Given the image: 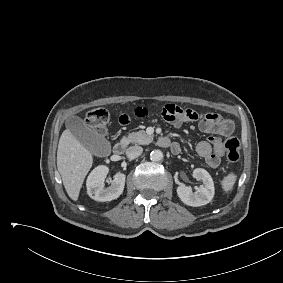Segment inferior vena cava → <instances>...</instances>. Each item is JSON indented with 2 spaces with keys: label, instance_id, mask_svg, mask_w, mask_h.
Returning a JSON list of instances; mask_svg holds the SVG:
<instances>
[{
  "label": "inferior vena cava",
  "instance_id": "inferior-vena-cava-1",
  "mask_svg": "<svg viewBox=\"0 0 283 283\" xmlns=\"http://www.w3.org/2000/svg\"><path fill=\"white\" fill-rule=\"evenodd\" d=\"M143 152V148L141 146H131L127 149L126 154L129 158H137L139 157Z\"/></svg>",
  "mask_w": 283,
  "mask_h": 283
}]
</instances>
